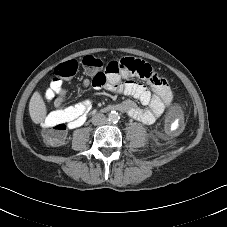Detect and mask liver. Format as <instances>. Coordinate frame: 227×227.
<instances>
[{"label":"liver","instance_id":"liver-1","mask_svg":"<svg viewBox=\"0 0 227 227\" xmlns=\"http://www.w3.org/2000/svg\"><path fill=\"white\" fill-rule=\"evenodd\" d=\"M46 105L40 93L35 91L29 102V114L34 123L42 122L46 117Z\"/></svg>","mask_w":227,"mask_h":227}]
</instances>
